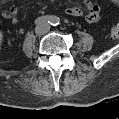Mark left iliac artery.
<instances>
[{"mask_svg":"<svg viewBox=\"0 0 119 119\" xmlns=\"http://www.w3.org/2000/svg\"><path fill=\"white\" fill-rule=\"evenodd\" d=\"M58 24H59V20H58V18H57L56 21L53 22V24H51V25H58Z\"/></svg>","mask_w":119,"mask_h":119,"instance_id":"left-iliac-artery-1","label":"left iliac artery"}]
</instances>
